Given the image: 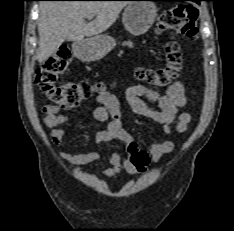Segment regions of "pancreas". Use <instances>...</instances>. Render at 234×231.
I'll return each instance as SVG.
<instances>
[{
    "mask_svg": "<svg viewBox=\"0 0 234 231\" xmlns=\"http://www.w3.org/2000/svg\"><path fill=\"white\" fill-rule=\"evenodd\" d=\"M122 45H127V46H129V47H132V46H133V43L130 42V41H128V42H123Z\"/></svg>",
    "mask_w": 234,
    "mask_h": 231,
    "instance_id": "pancreas-1",
    "label": "pancreas"
}]
</instances>
